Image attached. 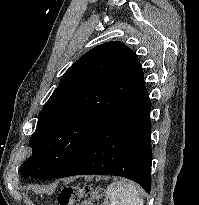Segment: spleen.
I'll use <instances>...</instances> for the list:
<instances>
[{
	"label": "spleen",
	"instance_id": "1",
	"mask_svg": "<svg viewBox=\"0 0 199 205\" xmlns=\"http://www.w3.org/2000/svg\"><path fill=\"white\" fill-rule=\"evenodd\" d=\"M110 205H143L142 191L134 183L120 180L107 186Z\"/></svg>",
	"mask_w": 199,
	"mask_h": 205
}]
</instances>
